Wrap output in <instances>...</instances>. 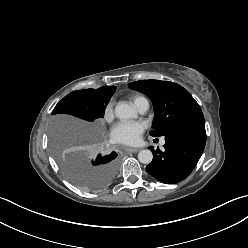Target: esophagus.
<instances>
[{"label": "esophagus", "instance_id": "obj_1", "mask_svg": "<svg viewBox=\"0 0 248 248\" xmlns=\"http://www.w3.org/2000/svg\"><path fill=\"white\" fill-rule=\"evenodd\" d=\"M127 152L129 153H136L138 152L140 149L139 148H126L125 149Z\"/></svg>", "mask_w": 248, "mask_h": 248}]
</instances>
